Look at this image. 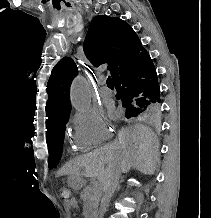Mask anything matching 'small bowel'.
Here are the masks:
<instances>
[{
  "instance_id": "1",
  "label": "small bowel",
  "mask_w": 211,
  "mask_h": 218,
  "mask_svg": "<svg viewBox=\"0 0 211 218\" xmlns=\"http://www.w3.org/2000/svg\"><path fill=\"white\" fill-rule=\"evenodd\" d=\"M65 205L67 208H71V207H75L77 205V203L75 200H70V201L66 202Z\"/></svg>"
}]
</instances>
